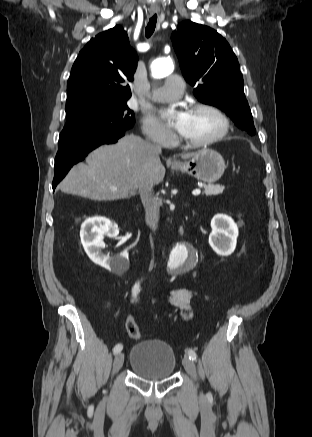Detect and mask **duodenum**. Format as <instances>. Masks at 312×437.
<instances>
[{"instance_id": "1", "label": "duodenum", "mask_w": 312, "mask_h": 437, "mask_svg": "<svg viewBox=\"0 0 312 437\" xmlns=\"http://www.w3.org/2000/svg\"><path fill=\"white\" fill-rule=\"evenodd\" d=\"M182 234H183V228L180 227L179 230H178V236H181Z\"/></svg>"}]
</instances>
